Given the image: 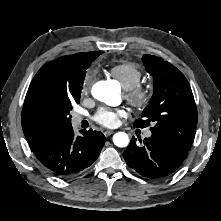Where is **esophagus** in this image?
Listing matches in <instances>:
<instances>
[{
  "mask_svg": "<svg viewBox=\"0 0 221 221\" xmlns=\"http://www.w3.org/2000/svg\"><path fill=\"white\" fill-rule=\"evenodd\" d=\"M113 133H114V131H112V130H106V131L104 132V135H105L106 137H108V136L112 135Z\"/></svg>",
  "mask_w": 221,
  "mask_h": 221,
  "instance_id": "34e87169",
  "label": "esophagus"
}]
</instances>
